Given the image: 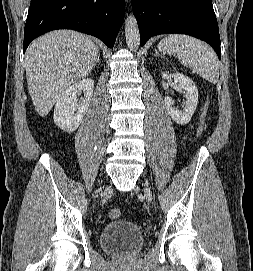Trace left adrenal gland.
Masks as SVG:
<instances>
[{
	"instance_id": "obj_1",
	"label": "left adrenal gland",
	"mask_w": 253,
	"mask_h": 271,
	"mask_svg": "<svg viewBox=\"0 0 253 271\" xmlns=\"http://www.w3.org/2000/svg\"><path fill=\"white\" fill-rule=\"evenodd\" d=\"M155 56H160L159 52L155 49Z\"/></svg>"
}]
</instances>
